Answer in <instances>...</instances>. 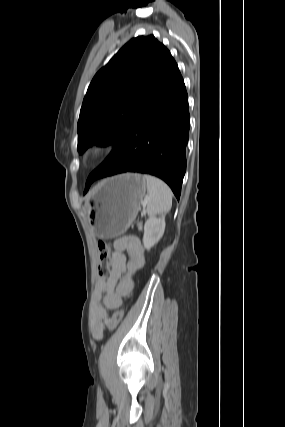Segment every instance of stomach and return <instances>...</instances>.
Segmentation results:
<instances>
[{"mask_svg":"<svg viewBox=\"0 0 285 427\" xmlns=\"http://www.w3.org/2000/svg\"><path fill=\"white\" fill-rule=\"evenodd\" d=\"M147 183L140 174L127 173L101 181L85 204L88 221L97 237L122 235L135 220Z\"/></svg>","mask_w":285,"mask_h":427,"instance_id":"0dacf381","label":"stomach"}]
</instances>
